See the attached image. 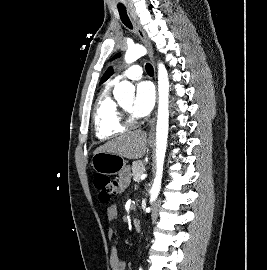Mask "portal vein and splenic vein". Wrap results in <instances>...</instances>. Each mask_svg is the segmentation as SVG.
I'll list each match as a JSON object with an SVG mask.
<instances>
[{"label":"portal vein and splenic vein","instance_id":"18ae733b","mask_svg":"<svg viewBox=\"0 0 267 270\" xmlns=\"http://www.w3.org/2000/svg\"><path fill=\"white\" fill-rule=\"evenodd\" d=\"M146 176H147V174H141L140 177H139V180H140V179H141V180L145 179Z\"/></svg>","mask_w":267,"mask_h":270}]
</instances>
